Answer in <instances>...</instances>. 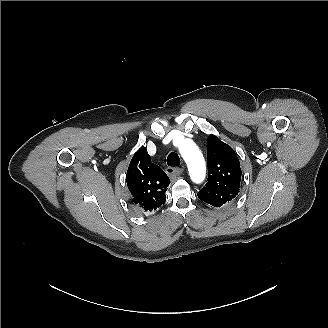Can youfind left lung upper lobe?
Returning a JSON list of instances; mask_svg holds the SVG:
<instances>
[{"label":"left lung upper lobe","instance_id":"obj_1","mask_svg":"<svg viewBox=\"0 0 328 328\" xmlns=\"http://www.w3.org/2000/svg\"><path fill=\"white\" fill-rule=\"evenodd\" d=\"M207 162L209 177L198 198L219 207L229 203L239 192L240 162L234 150L212 134L208 138Z\"/></svg>","mask_w":328,"mask_h":328}]
</instances>
